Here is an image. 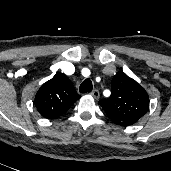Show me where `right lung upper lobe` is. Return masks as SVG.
<instances>
[{
    "instance_id": "1",
    "label": "right lung upper lobe",
    "mask_w": 171,
    "mask_h": 171,
    "mask_svg": "<svg viewBox=\"0 0 171 171\" xmlns=\"http://www.w3.org/2000/svg\"><path fill=\"white\" fill-rule=\"evenodd\" d=\"M78 99L80 95L68 77L58 73L41 86L34 104L43 117L54 119L65 113Z\"/></svg>"
}]
</instances>
